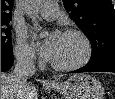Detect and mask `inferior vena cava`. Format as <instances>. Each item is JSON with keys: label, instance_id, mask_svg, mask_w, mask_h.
I'll return each mask as SVG.
<instances>
[{"label": "inferior vena cava", "instance_id": "inferior-vena-cava-1", "mask_svg": "<svg viewBox=\"0 0 115 99\" xmlns=\"http://www.w3.org/2000/svg\"><path fill=\"white\" fill-rule=\"evenodd\" d=\"M35 74L33 57L29 54H18L14 68V81L16 87L21 90L26 87L27 80Z\"/></svg>", "mask_w": 115, "mask_h": 99}]
</instances>
